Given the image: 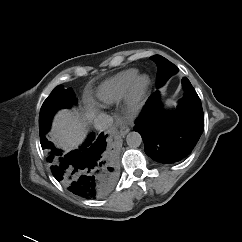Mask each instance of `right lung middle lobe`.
<instances>
[{"label":"right lung middle lobe","instance_id":"right-lung-middle-lobe-1","mask_svg":"<svg viewBox=\"0 0 242 242\" xmlns=\"http://www.w3.org/2000/svg\"><path fill=\"white\" fill-rule=\"evenodd\" d=\"M76 103L75 94L71 88L57 86L44 101L39 115L40 138L44 137L50 128L53 115L58 109L70 108Z\"/></svg>","mask_w":242,"mask_h":242}]
</instances>
